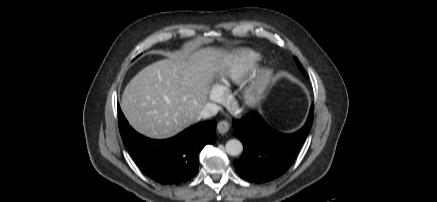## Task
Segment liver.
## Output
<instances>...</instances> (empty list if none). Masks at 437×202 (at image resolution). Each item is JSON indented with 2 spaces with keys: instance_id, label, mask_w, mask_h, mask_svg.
<instances>
[{
  "instance_id": "liver-1",
  "label": "liver",
  "mask_w": 437,
  "mask_h": 202,
  "mask_svg": "<svg viewBox=\"0 0 437 202\" xmlns=\"http://www.w3.org/2000/svg\"><path fill=\"white\" fill-rule=\"evenodd\" d=\"M233 55L215 48H188L143 68L127 84L121 109L139 133L156 139L175 136L199 120L210 84L224 74Z\"/></svg>"
}]
</instances>
